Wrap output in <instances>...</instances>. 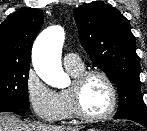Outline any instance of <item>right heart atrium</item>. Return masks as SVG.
<instances>
[{
	"instance_id": "right-heart-atrium-1",
	"label": "right heart atrium",
	"mask_w": 147,
	"mask_h": 131,
	"mask_svg": "<svg viewBox=\"0 0 147 131\" xmlns=\"http://www.w3.org/2000/svg\"><path fill=\"white\" fill-rule=\"evenodd\" d=\"M27 100L35 116L45 122L62 119L64 106L58 92L48 87L33 69L25 78Z\"/></svg>"
}]
</instances>
